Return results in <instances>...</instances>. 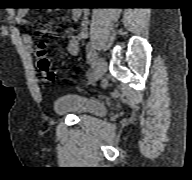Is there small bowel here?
<instances>
[{"label": "small bowel", "instance_id": "c3829d8e", "mask_svg": "<svg viewBox=\"0 0 192 180\" xmlns=\"http://www.w3.org/2000/svg\"><path fill=\"white\" fill-rule=\"evenodd\" d=\"M27 11L25 9H20L16 14V22L20 25L26 24ZM71 16L74 22L81 20V25L79 31L70 37L67 49L71 55H77L79 52L80 43L82 40L88 37V12L83 11L79 8H73L71 11ZM23 43L29 48L33 47V38L30 34L24 33L21 35Z\"/></svg>", "mask_w": 192, "mask_h": 180}]
</instances>
